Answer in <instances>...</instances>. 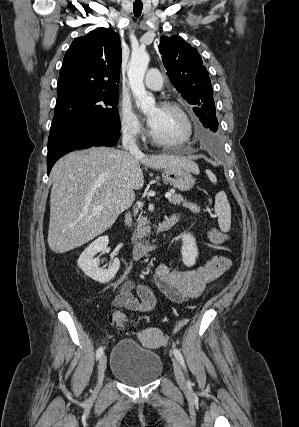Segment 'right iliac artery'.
I'll return each instance as SVG.
<instances>
[{
	"instance_id": "82829eb1",
	"label": "right iliac artery",
	"mask_w": 299,
	"mask_h": 427,
	"mask_svg": "<svg viewBox=\"0 0 299 427\" xmlns=\"http://www.w3.org/2000/svg\"><path fill=\"white\" fill-rule=\"evenodd\" d=\"M103 354V348L100 347L96 352V358L99 359Z\"/></svg>"
}]
</instances>
